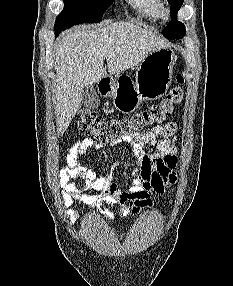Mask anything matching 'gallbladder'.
Listing matches in <instances>:
<instances>
[{
    "mask_svg": "<svg viewBox=\"0 0 233 286\" xmlns=\"http://www.w3.org/2000/svg\"><path fill=\"white\" fill-rule=\"evenodd\" d=\"M82 103L88 109H97L100 106V99L92 85H88L82 92Z\"/></svg>",
    "mask_w": 233,
    "mask_h": 286,
    "instance_id": "gallbladder-1",
    "label": "gallbladder"
}]
</instances>
